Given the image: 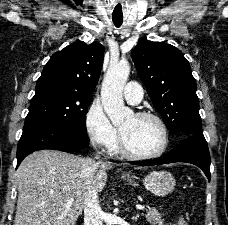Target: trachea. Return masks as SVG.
Masks as SVG:
<instances>
[{
    "label": "trachea",
    "instance_id": "trachea-1",
    "mask_svg": "<svg viewBox=\"0 0 228 225\" xmlns=\"http://www.w3.org/2000/svg\"><path fill=\"white\" fill-rule=\"evenodd\" d=\"M113 22L116 25V27H119L122 24V18L121 19H114L113 18Z\"/></svg>",
    "mask_w": 228,
    "mask_h": 225
}]
</instances>
